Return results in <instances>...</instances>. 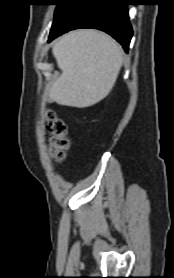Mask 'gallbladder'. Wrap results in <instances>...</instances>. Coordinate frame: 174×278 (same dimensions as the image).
<instances>
[{"mask_svg":"<svg viewBox=\"0 0 174 278\" xmlns=\"http://www.w3.org/2000/svg\"><path fill=\"white\" fill-rule=\"evenodd\" d=\"M48 102H51L52 100L50 98H47Z\"/></svg>","mask_w":174,"mask_h":278,"instance_id":"bac80fb5","label":"gallbladder"}]
</instances>
